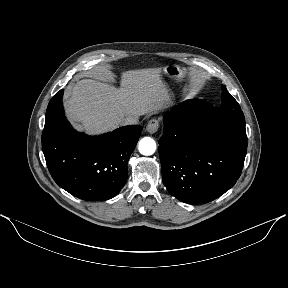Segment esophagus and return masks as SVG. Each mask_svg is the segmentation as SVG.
I'll return each instance as SVG.
<instances>
[{"label":"esophagus","instance_id":"esophagus-1","mask_svg":"<svg viewBox=\"0 0 288 288\" xmlns=\"http://www.w3.org/2000/svg\"><path fill=\"white\" fill-rule=\"evenodd\" d=\"M159 127V121L157 119H151L146 126V130L148 133L154 134L158 131Z\"/></svg>","mask_w":288,"mask_h":288}]
</instances>
